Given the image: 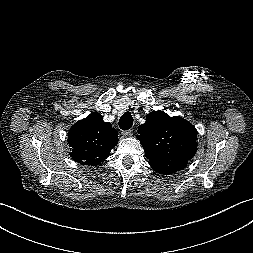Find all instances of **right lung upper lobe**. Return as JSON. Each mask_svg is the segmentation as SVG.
Returning a JSON list of instances; mask_svg holds the SVG:
<instances>
[{
    "instance_id": "right-lung-upper-lobe-1",
    "label": "right lung upper lobe",
    "mask_w": 253,
    "mask_h": 253,
    "mask_svg": "<svg viewBox=\"0 0 253 253\" xmlns=\"http://www.w3.org/2000/svg\"><path fill=\"white\" fill-rule=\"evenodd\" d=\"M117 141L118 132L99 113L89 114L68 132L71 158L88 166H97L105 160Z\"/></svg>"
}]
</instances>
